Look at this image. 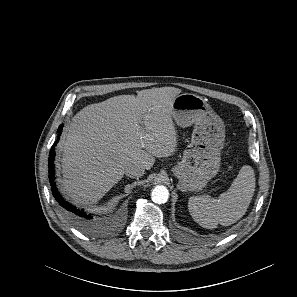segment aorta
<instances>
[{"label":"aorta","mask_w":297,"mask_h":297,"mask_svg":"<svg viewBox=\"0 0 297 297\" xmlns=\"http://www.w3.org/2000/svg\"><path fill=\"white\" fill-rule=\"evenodd\" d=\"M151 198L154 203L164 204L169 198V191L165 186L158 185L152 190Z\"/></svg>","instance_id":"762f6f07"}]
</instances>
